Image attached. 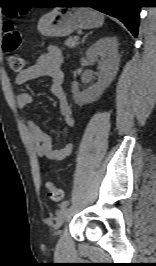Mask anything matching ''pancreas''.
<instances>
[{
    "mask_svg": "<svg viewBox=\"0 0 156 266\" xmlns=\"http://www.w3.org/2000/svg\"><path fill=\"white\" fill-rule=\"evenodd\" d=\"M79 44L78 39L76 37H70L65 41V45L69 48H74Z\"/></svg>",
    "mask_w": 156,
    "mask_h": 266,
    "instance_id": "cf45deb5",
    "label": "pancreas"
}]
</instances>
